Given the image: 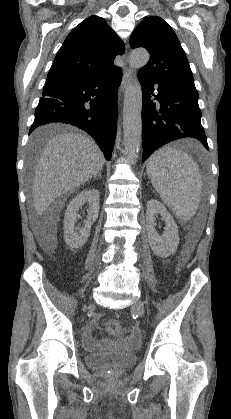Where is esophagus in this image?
<instances>
[{
	"label": "esophagus",
	"instance_id": "obj_1",
	"mask_svg": "<svg viewBox=\"0 0 231 419\" xmlns=\"http://www.w3.org/2000/svg\"><path fill=\"white\" fill-rule=\"evenodd\" d=\"M133 74V69L127 67L124 71L123 79L120 86V94H123Z\"/></svg>",
	"mask_w": 231,
	"mask_h": 419
}]
</instances>
